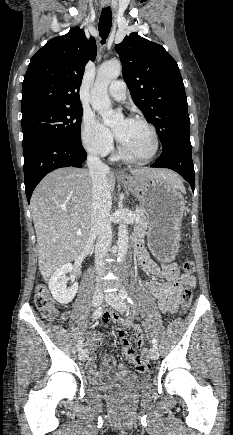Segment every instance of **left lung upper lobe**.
<instances>
[{
  "label": "left lung upper lobe",
  "mask_w": 233,
  "mask_h": 435,
  "mask_svg": "<svg viewBox=\"0 0 233 435\" xmlns=\"http://www.w3.org/2000/svg\"><path fill=\"white\" fill-rule=\"evenodd\" d=\"M132 99L151 122L162 146L189 135L190 119L177 62L159 44L131 33L115 46Z\"/></svg>",
  "instance_id": "1"
}]
</instances>
